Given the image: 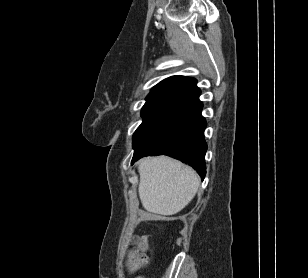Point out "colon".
<instances>
[{
    "mask_svg": "<svg viewBox=\"0 0 308 278\" xmlns=\"http://www.w3.org/2000/svg\"><path fill=\"white\" fill-rule=\"evenodd\" d=\"M149 251V243L147 238H137L133 240L132 248L128 254L127 266L130 271H136L141 268Z\"/></svg>",
    "mask_w": 308,
    "mask_h": 278,
    "instance_id": "obj_1",
    "label": "colon"
}]
</instances>
